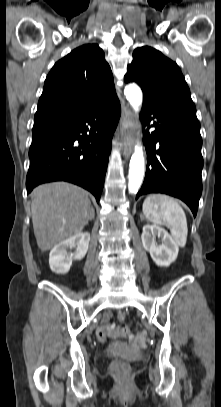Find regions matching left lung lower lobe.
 Wrapping results in <instances>:
<instances>
[{
	"label": "left lung lower lobe",
	"instance_id": "obj_1",
	"mask_svg": "<svg viewBox=\"0 0 221 407\" xmlns=\"http://www.w3.org/2000/svg\"><path fill=\"white\" fill-rule=\"evenodd\" d=\"M141 120L155 130L145 133L147 167L143 194L165 193L184 201L196 216L202 193V138L196 108L191 103L143 105ZM150 128V126H149Z\"/></svg>",
	"mask_w": 221,
	"mask_h": 407
}]
</instances>
